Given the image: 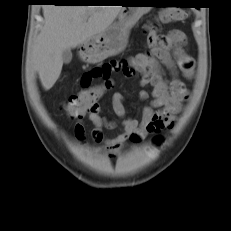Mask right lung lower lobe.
I'll list each match as a JSON object with an SVG mask.
<instances>
[{
	"label": "right lung lower lobe",
	"mask_w": 231,
	"mask_h": 231,
	"mask_svg": "<svg viewBox=\"0 0 231 231\" xmlns=\"http://www.w3.org/2000/svg\"><path fill=\"white\" fill-rule=\"evenodd\" d=\"M41 2H51L57 5H77L76 0H41Z\"/></svg>",
	"instance_id": "right-lung-lower-lobe-1"
}]
</instances>
